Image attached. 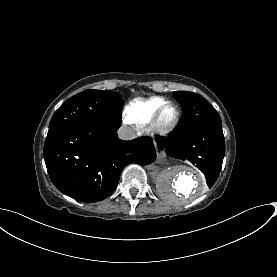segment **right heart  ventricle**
<instances>
[{"instance_id": "obj_1", "label": "right heart ventricle", "mask_w": 277, "mask_h": 277, "mask_svg": "<svg viewBox=\"0 0 277 277\" xmlns=\"http://www.w3.org/2000/svg\"><path fill=\"white\" fill-rule=\"evenodd\" d=\"M168 102L163 97H152L148 100L136 98L129 102L124 109V117L131 123L145 125L150 122L156 109Z\"/></svg>"}]
</instances>
